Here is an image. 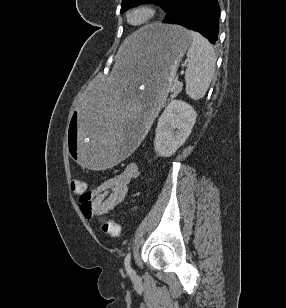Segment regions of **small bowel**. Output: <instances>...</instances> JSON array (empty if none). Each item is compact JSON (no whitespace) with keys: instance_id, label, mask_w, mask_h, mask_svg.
Masks as SVG:
<instances>
[{"instance_id":"obj_1","label":"small bowel","mask_w":286,"mask_h":308,"mask_svg":"<svg viewBox=\"0 0 286 308\" xmlns=\"http://www.w3.org/2000/svg\"><path fill=\"white\" fill-rule=\"evenodd\" d=\"M138 174L137 165L130 163L120 173L95 188L76 193L82 215L87 220H92L95 216L106 215L117 208L125 199L130 183Z\"/></svg>"}]
</instances>
